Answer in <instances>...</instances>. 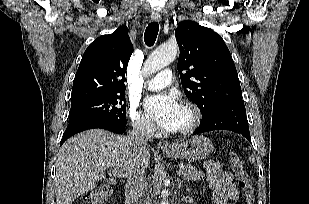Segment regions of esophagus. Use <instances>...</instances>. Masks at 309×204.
<instances>
[{
    "label": "esophagus",
    "mask_w": 309,
    "mask_h": 204,
    "mask_svg": "<svg viewBox=\"0 0 309 204\" xmlns=\"http://www.w3.org/2000/svg\"><path fill=\"white\" fill-rule=\"evenodd\" d=\"M151 20L153 22H159L161 20V15L159 13H152ZM158 146L162 150H169L173 148V145L167 140H161Z\"/></svg>",
    "instance_id": "34e87169"
}]
</instances>
